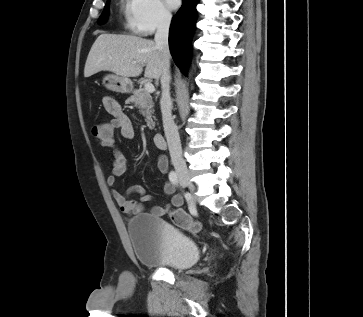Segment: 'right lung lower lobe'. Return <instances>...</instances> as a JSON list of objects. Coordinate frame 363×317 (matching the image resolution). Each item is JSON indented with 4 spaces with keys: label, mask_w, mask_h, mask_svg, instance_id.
Wrapping results in <instances>:
<instances>
[{
    "label": "right lung lower lobe",
    "mask_w": 363,
    "mask_h": 317,
    "mask_svg": "<svg viewBox=\"0 0 363 317\" xmlns=\"http://www.w3.org/2000/svg\"><path fill=\"white\" fill-rule=\"evenodd\" d=\"M198 0H183L182 7L173 17L169 48L176 65L186 75L190 57V42L196 21V5Z\"/></svg>",
    "instance_id": "1"
}]
</instances>
